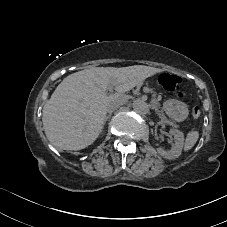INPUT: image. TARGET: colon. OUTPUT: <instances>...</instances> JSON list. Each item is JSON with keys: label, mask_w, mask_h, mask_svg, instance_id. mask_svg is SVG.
I'll list each match as a JSON object with an SVG mask.
<instances>
[{"label": "colon", "mask_w": 227, "mask_h": 227, "mask_svg": "<svg viewBox=\"0 0 227 227\" xmlns=\"http://www.w3.org/2000/svg\"><path fill=\"white\" fill-rule=\"evenodd\" d=\"M159 84L168 92H172L176 97L183 99L186 97L184 91L181 90L182 79L178 75L162 72L158 77ZM201 108L197 105L191 109V116L193 119L201 117Z\"/></svg>", "instance_id": "1"}]
</instances>
